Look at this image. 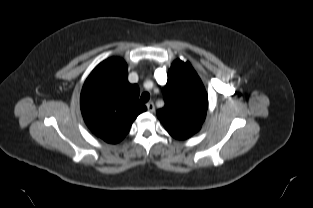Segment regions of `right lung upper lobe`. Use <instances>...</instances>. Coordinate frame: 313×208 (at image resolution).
Segmentation results:
<instances>
[{
    "mask_svg": "<svg viewBox=\"0 0 313 208\" xmlns=\"http://www.w3.org/2000/svg\"><path fill=\"white\" fill-rule=\"evenodd\" d=\"M88 128L107 143L120 142L136 117L147 110L139 87L128 82L127 64L116 57L101 62L89 75L80 97Z\"/></svg>",
    "mask_w": 313,
    "mask_h": 208,
    "instance_id": "right-lung-upper-lobe-1",
    "label": "right lung upper lobe"
}]
</instances>
